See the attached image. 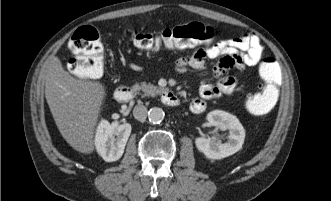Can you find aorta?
<instances>
[{
	"label": "aorta",
	"mask_w": 331,
	"mask_h": 201,
	"mask_svg": "<svg viewBox=\"0 0 331 201\" xmlns=\"http://www.w3.org/2000/svg\"><path fill=\"white\" fill-rule=\"evenodd\" d=\"M165 113L159 107H153L148 112L149 121L153 124L161 123L164 119Z\"/></svg>",
	"instance_id": "762f6f07"
}]
</instances>
